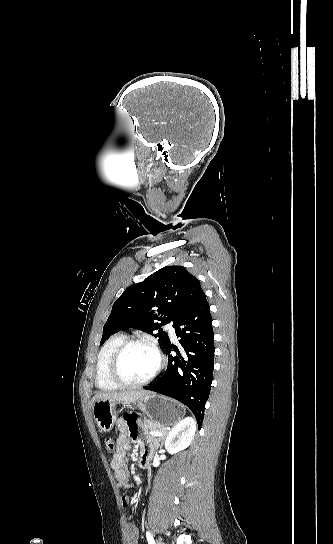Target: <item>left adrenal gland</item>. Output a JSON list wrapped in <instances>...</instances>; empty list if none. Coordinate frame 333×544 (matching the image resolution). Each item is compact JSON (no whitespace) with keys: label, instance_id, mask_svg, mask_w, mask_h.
Returning a JSON list of instances; mask_svg holds the SVG:
<instances>
[{"label":"left adrenal gland","instance_id":"left-adrenal-gland-1","mask_svg":"<svg viewBox=\"0 0 333 544\" xmlns=\"http://www.w3.org/2000/svg\"><path fill=\"white\" fill-rule=\"evenodd\" d=\"M165 436H166V433H165V434H164V435H163L162 437H160V441H161V445H160V447H162V446H163V443H164V439H165Z\"/></svg>","mask_w":333,"mask_h":544}]
</instances>
